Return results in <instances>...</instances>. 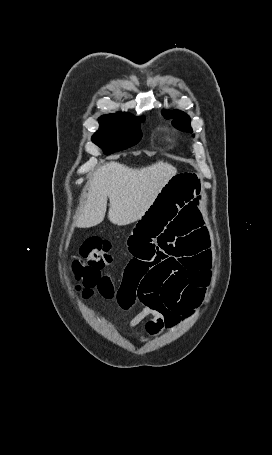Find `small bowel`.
<instances>
[{
	"label": "small bowel",
	"mask_w": 272,
	"mask_h": 455,
	"mask_svg": "<svg viewBox=\"0 0 272 455\" xmlns=\"http://www.w3.org/2000/svg\"><path fill=\"white\" fill-rule=\"evenodd\" d=\"M201 178L180 172L170 178L129 237L132 255L115 299L123 311L142 309L129 321H145L153 336L189 315L202 301L209 279V237L199 211Z\"/></svg>",
	"instance_id": "c3829d8e"
}]
</instances>
